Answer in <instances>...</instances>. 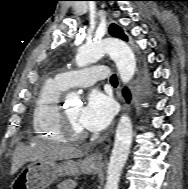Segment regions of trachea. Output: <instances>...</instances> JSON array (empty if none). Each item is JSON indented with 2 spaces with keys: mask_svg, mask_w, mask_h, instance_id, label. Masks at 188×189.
<instances>
[{
  "mask_svg": "<svg viewBox=\"0 0 188 189\" xmlns=\"http://www.w3.org/2000/svg\"><path fill=\"white\" fill-rule=\"evenodd\" d=\"M111 83L116 84L117 83V76L113 74L110 78Z\"/></svg>",
  "mask_w": 188,
  "mask_h": 189,
  "instance_id": "3493384b",
  "label": "trachea"
}]
</instances>
